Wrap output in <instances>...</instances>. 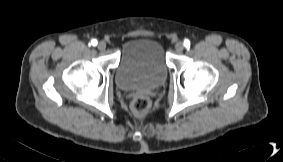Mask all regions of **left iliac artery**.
<instances>
[{
  "instance_id": "obj_1",
  "label": "left iliac artery",
  "mask_w": 283,
  "mask_h": 162,
  "mask_svg": "<svg viewBox=\"0 0 283 162\" xmlns=\"http://www.w3.org/2000/svg\"><path fill=\"white\" fill-rule=\"evenodd\" d=\"M184 46L187 48L190 46V41L188 39L184 40Z\"/></svg>"
}]
</instances>
